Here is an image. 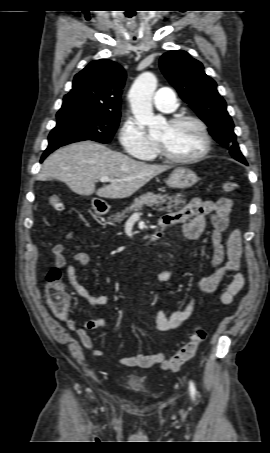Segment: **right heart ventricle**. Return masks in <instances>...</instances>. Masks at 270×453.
<instances>
[{"label":"right heart ventricle","instance_id":"right-heart-ventricle-1","mask_svg":"<svg viewBox=\"0 0 270 453\" xmlns=\"http://www.w3.org/2000/svg\"><path fill=\"white\" fill-rule=\"evenodd\" d=\"M157 154V151L155 150L150 156L146 157L145 159L151 160L154 159Z\"/></svg>","mask_w":270,"mask_h":453}]
</instances>
